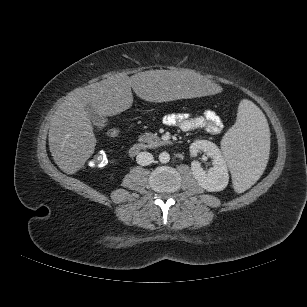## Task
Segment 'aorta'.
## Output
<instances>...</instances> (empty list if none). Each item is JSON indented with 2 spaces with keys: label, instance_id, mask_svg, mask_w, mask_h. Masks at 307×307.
<instances>
[{
  "label": "aorta",
  "instance_id": "aorta-1",
  "mask_svg": "<svg viewBox=\"0 0 307 307\" xmlns=\"http://www.w3.org/2000/svg\"><path fill=\"white\" fill-rule=\"evenodd\" d=\"M159 161L161 163H168L170 161V155L168 152L164 151L159 154Z\"/></svg>",
  "mask_w": 307,
  "mask_h": 307
}]
</instances>
